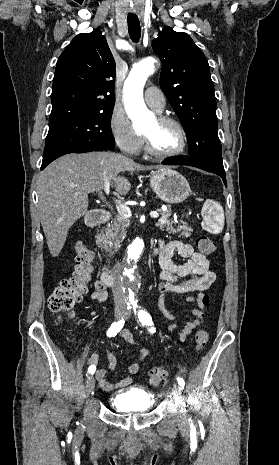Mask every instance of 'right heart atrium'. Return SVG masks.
<instances>
[{
	"mask_svg": "<svg viewBox=\"0 0 279 465\" xmlns=\"http://www.w3.org/2000/svg\"><path fill=\"white\" fill-rule=\"evenodd\" d=\"M109 128L115 144L125 153H136L141 145L142 138L135 132L131 121L121 109H114L110 116Z\"/></svg>",
	"mask_w": 279,
	"mask_h": 465,
	"instance_id": "right-heart-atrium-1",
	"label": "right heart atrium"
}]
</instances>
